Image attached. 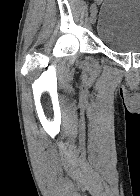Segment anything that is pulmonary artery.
Returning a JSON list of instances; mask_svg holds the SVG:
<instances>
[{"mask_svg": "<svg viewBox=\"0 0 140 196\" xmlns=\"http://www.w3.org/2000/svg\"><path fill=\"white\" fill-rule=\"evenodd\" d=\"M55 192H75V191H55Z\"/></svg>", "mask_w": 140, "mask_h": 196, "instance_id": "pulmonary-artery-1", "label": "pulmonary artery"}]
</instances>
